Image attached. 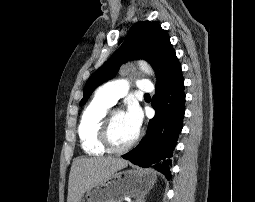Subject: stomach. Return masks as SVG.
Returning <instances> with one entry per match:
<instances>
[{
	"mask_svg": "<svg viewBox=\"0 0 255 202\" xmlns=\"http://www.w3.org/2000/svg\"><path fill=\"white\" fill-rule=\"evenodd\" d=\"M156 177L148 170L132 169L115 172L103 182L90 187L79 202H122L149 192ZM109 184L106 185L105 183Z\"/></svg>",
	"mask_w": 255,
	"mask_h": 202,
	"instance_id": "0dacf381",
	"label": "stomach"
}]
</instances>
